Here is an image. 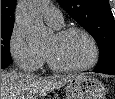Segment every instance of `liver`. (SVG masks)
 <instances>
[{"instance_id":"liver-1","label":"liver","mask_w":115,"mask_h":99,"mask_svg":"<svg viewBox=\"0 0 115 99\" xmlns=\"http://www.w3.org/2000/svg\"><path fill=\"white\" fill-rule=\"evenodd\" d=\"M76 77L72 75L43 78L1 70V99H40Z\"/></svg>"}]
</instances>
